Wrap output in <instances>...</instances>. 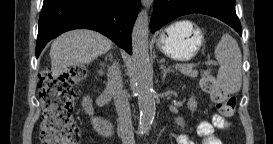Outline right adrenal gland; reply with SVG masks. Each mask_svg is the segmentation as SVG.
Here are the masks:
<instances>
[{
    "label": "right adrenal gland",
    "instance_id": "2a0ac1e0",
    "mask_svg": "<svg viewBox=\"0 0 273 144\" xmlns=\"http://www.w3.org/2000/svg\"><path fill=\"white\" fill-rule=\"evenodd\" d=\"M107 59H109L110 61H113V56H112L111 53H109V54L106 56V60H107ZM104 65H105L104 63H101V64H100V66H101L102 68H104ZM102 68L99 70V74H100V75H103V74H104V71H103Z\"/></svg>",
    "mask_w": 273,
    "mask_h": 144
}]
</instances>
